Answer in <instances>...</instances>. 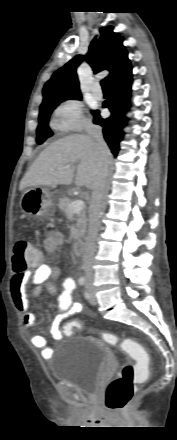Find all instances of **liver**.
<instances>
[{"label":"liver","mask_w":177,"mask_h":440,"mask_svg":"<svg viewBox=\"0 0 177 440\" xmlns=\"http://www.w3.org/2000/svg\"><path fill=\"white\" fill-rule=\"evenodd\" d=\"M104 157L107 163L112 159L105 143ZM66 165L70 167L67 168ZM98 166V154L92 137H64L40 153L20 182V190L27 187L71 185L74 177L76 186L93 190L98 177Z\"/></svg>","instance_id":"liver-1"}]
</instances>
